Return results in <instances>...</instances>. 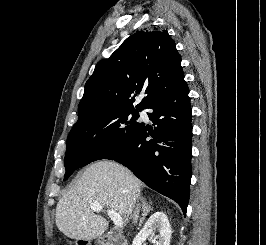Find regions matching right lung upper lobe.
I'll use <instances>...</instances> for the list:
<instances>
[{
  "label": "right lung upper lobe",
  "mask_w": 266,
  "mask_h": 245,
  "mask_svg": "<svg viewBox=\"0 0 266 245\" xmlns=\"http://www.w3.org/2000/svg\"><path fill=\"white\" fill-rule=\"evenodd\" d=\"M175 41L166 30L135 32L108 59L99 61L85 84L79 119L117 107L144 109L158 96L184 80ZM147 96L133 106L135 96ZM78 119V120H79Z\"/></svg>",
  "instance_id": "cb5924a9"
}]
</instances>
